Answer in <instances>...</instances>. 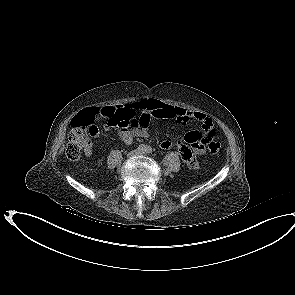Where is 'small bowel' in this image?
<instances>
[{
    "instance_id": "1",
    "label": "small bowel",
    "mask_w": 295,
    "mask_h": 295,
    "mask_svg": "<svg viewBox=\"0 0 295 295\" xmlns=\"http://www.w3.org/2000/svg\"><path fill=\"white\" fill-rule=\"evenodd\" d=\"M111 108L113 117L103 122V128L105 130H111L115 126H119L118 124L125 119L137 121L136 129L131 130L127 127H122L117 131L120 140L126 144H131L135 137H147L152 118L168 119L179 124H186L191 120H197L202 123L203 131L196 129L189 131L184 137V143L181 141L163 140L160 146L163 149H170L176 145L183 161L194 166L197 165L196 156L205 153L208 140L206 131L213 128V122L202 112L175 107L152 98H145L140 101ZM98 132L97 129L96 135H98ZM85 153L87 155L92 153L91 146L85 149Z\"/></svg>"
}]
</instances>
